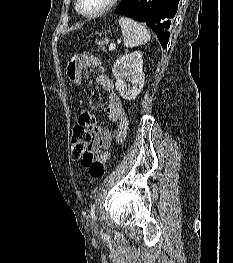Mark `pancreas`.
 Wrapping results in <instances>:
<instances>
[{"mask_svg":"<svg viewBox=\"0 0 233 263\" xmlns=\"http://www.w3.org/2000/svg\"><path fill=\"white\" fill-rule=\"evenodd\" d=\"M108 44L107 39H102V41L97 42V45L99 48H101L102 51H104L105 46Z\"/></svg>","mask_w":233,"mask_h":263,"instance_id":"1","label":"pancreas"}]
</instances>
